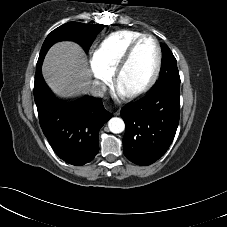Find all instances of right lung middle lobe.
<instances>
[{"label": "right lung middle lobe", "instance_id": "right-lung-middle-lobe-1", "mask_svg": "<svg viewBox=\"0 0 227 227\" xmlns=\"http://www.w3.org/2000/svg\"><path fill=\"white\" fill-rule=\"evenodd\" d=\"M104 28L102 24H83L78 22H69L61 25L60 27L53 30L45 39L38 64H42L43 59L49 50V48L58 41L71 40L81 45L86 52H88L92 42L96 35Z\"/></svg>", "mask_w": 227, "mask_h": 227}]
</instances>
